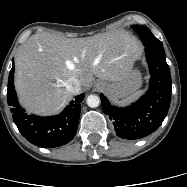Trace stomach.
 Wrapping results in <instances>:
<instances>
[{
  "mask_svg": "<svg viewBox=\"0 0 187 187\" xmlns=\"http://www.w3.org/2000/svg\"><path fill=\"white\" fill-rule=\"evenodd\" d=\"M141 84V73L137 69L132 68L123 80L111 84L104 83V90L111 100L118 101L131 95Z\"/></svg>",
  "mask_w": 187,
  "mask_h": 187,
  "instance_id": "stomach-1",
  "label": "stomach"
}]
</instances>
